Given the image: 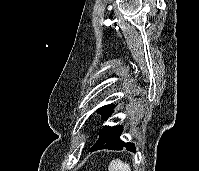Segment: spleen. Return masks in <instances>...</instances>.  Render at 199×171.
<instances>
[{
	"label": "spleen",
	"instance_id": "3e777b00",
	"mask_svg": "<svg viewBox=\"0 0 199 171\" xmlns=\"http://www.w3.org/2000/svg\"><path fill=\"white\" fill-rule=\"evenodd\" d=\"M108 171H131V170L129 164L122 162L120 159H116L110 162Z\"/></svg>",
	"mask_w": 199,
	"mask_h": 171
}]
</instances>
